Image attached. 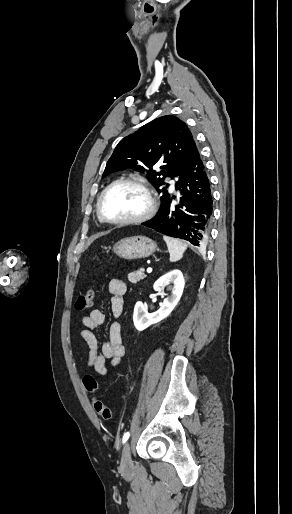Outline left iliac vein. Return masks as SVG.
Returning <instances> with one entry per match:
<instances>
[{
  "instance_id": "obj_1",
  "label": "left iliac vein",
  "mask_w": 292,
  "mask_h": 514,
  "mask_svg": "<svg viewBox=\"0 0 292 514\" xmlns=\"http://www.w3.org/2000/svg\"><path fill=\"white\" fill-rule=\"evenodd\" d=\"M132 467V458H131V445L130 442H126L122 449V457H121V469L122 471H127Z\"/></svg>"
}]
</instances>
